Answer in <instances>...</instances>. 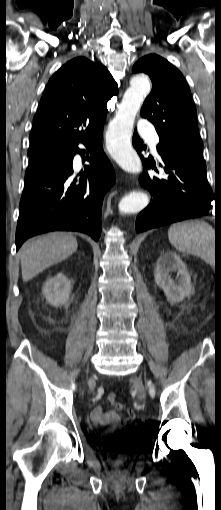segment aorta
I'll list each match as a JSON object with an SVG mask.
<instances>
[{"instance_id": "obj_1", "label": "aorta", "mask_w": 221, "mask_h": 510, "mask_svg": "<svg viewBox=\"0 0 221 510\" xmlns=\"http://www.w3.org/2000/svg\"><path fill=\"white\" fill-rule=\"evenodd\" d=\"M149 92L148 78L141 75L134 76L107 132V147L111 156L128 173L137 174L142 171L141 160L131 146V135L136 114ZM148 203L149 198L146 193L132 191L121 199L118 208L123 213L131 214L142 211Z\"/></svg>"}]
</instances>
